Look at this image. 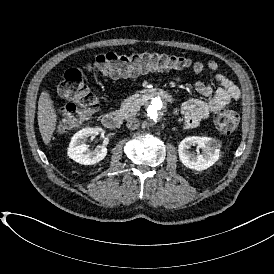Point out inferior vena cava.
<instances>
[{"mask_svg":"<svg viewBox=\"0 0 274 274\" xmlns=\"http://www.w3.org/2000/svg\"><path fill=\"white\" fill-rule=\"evenodd\" d=\"M126 127L129 130L139 129L140 121L137 118H129L126 122Z\"/></svg>","mask_w":274,"mask_h":274,"instance_id":"inferior-vena-cava-1","label":"inferior vena cava"}]
</instances>
